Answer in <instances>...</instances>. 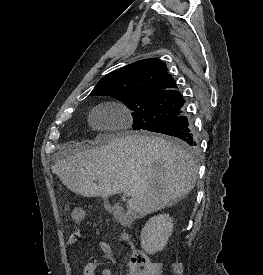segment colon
<instances>
[{
	"mask_svg": "<svg viewBox=\"0 0 263 275\" xmlns=\"http://www.w3.org/2000/svg\"><path fill=\"white\" fill-rule=\"evenodd\" d=\"M84 210L81 208H74L71 211V218L74 222H80L84 218ZM122 239L131 245L132 254L130 263L142 272L143 275H157V264L148 260L147 256L132 245L131 237L128 233H123Z\"/></svg>",
	"mask_w": 263,
	"mask_h": 275,
	"instance_id": "obj_1",
	"label": "colon"
}]
</instances>
